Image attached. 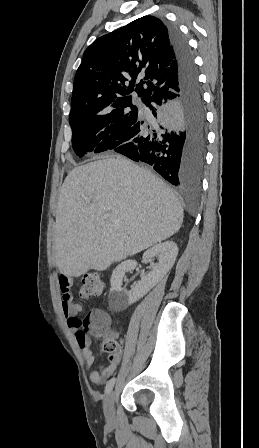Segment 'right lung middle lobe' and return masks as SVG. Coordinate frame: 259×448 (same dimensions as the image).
<instances>
[{
	"mask_svg": "<svg viewBox=\"0 0 259 448\" xmlns=\"http://www.w3.org/2000/svg\"><path fill=\"white\" fill-rule=\"evenodd\" d=\"M138 116L136 105L71 114L69 123L74 152L82 157L89 152L112 150L118 145L123 132L137 121Z\"/></svg>",
	"mask_w": 259,
	"mask_h": 448,
	"instance_id": "right-lung-middle-lobe-1",
	"label": "right lung middle lobe"
}]
</instances>
